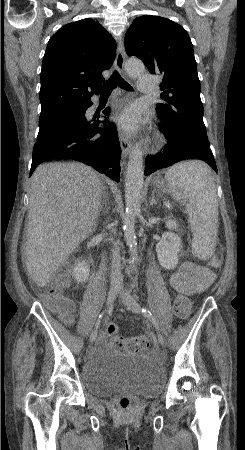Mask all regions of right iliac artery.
I'll return each mask as SVG.
<instances>
[{
  "mask_svg": "<svg viewBox=\"0 0 245 450\" xmlns=\"http://www.w3.org/2000/svg\"><path fill=\"white\" fill-rule=\"evenodd\" d=\"M103 315H104V312L101 313V314L99 315V317H98V319H97V321H96V324H95V328H96V329H98V327H99V325H100V322H101V319H102Z\"/></svg>",
  "mask_w": 245,
  "mask_h": 450,
  "instance_id": "82829eb1",
  "label": "right iliac artery"
}]
</instances>
